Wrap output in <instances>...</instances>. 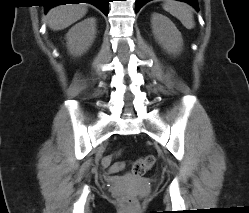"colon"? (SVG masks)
I'll return each mask as SVG.
<instances>
[{
  "instance_id": "colon-1",
  "label": "colon",
  "mask_w": 249,
  "mask_h": 213,
  "mask_svg": "<svg viewBox=\"0 0 249 213\" xmlns=\"http://www.w3.org/2000/svg\"><path fill=\"white\" fill-rule=\"evenodd\" d=\"M114 158L115 154H111L106 156L102 161L103 166L106 167L110 173H117L125 166L122 162H113ZM154 163L155 158L151 155L141 157L132 164V173L135 176H141L152 168ZM120 199L125 204H134L136 201V192L132 189L128 190L120 196Z\"/></svg>"
}]
</instances>
